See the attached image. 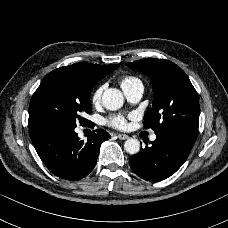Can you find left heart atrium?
<instances>
[{
	"label": "left heart atrium",
	"mask_w": 228,
	"mask_h": 228,
	"mask_svg": "<svg viewBox=\"0 0 228 228\" xmlns=\"http://www.w3.org/2000/svg\"><path fill=\"white\" fill-rule=\"evenodd\" d=\"M107 123L113 127V128H117V129H125L127 126V121L126 119L121 116V115H115L110 117L107 120Z\"/></svg>",
	"instance_id": "39dd6f15"
}]
</instances>
